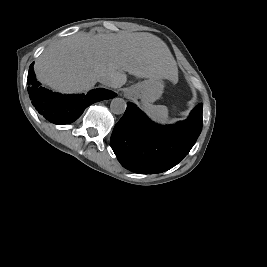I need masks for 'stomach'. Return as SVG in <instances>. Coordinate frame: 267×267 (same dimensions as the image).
Returning a JSON list of instances; mask_svg holds the SVG:
<instances>
[{
    "label": "stomach",
    "instance_id": "0dacf381",
    "mask_svg": "<svg viewBox=\"0 0 267 267\" xmlns=\"http://www.w3.org/2000/svg\"><path fill=\"white\" fill-rule=\"evenodd\" d=\"M163 90L164 82L161 79L149 78L131 86L127 94L140 98L143 103H153L161 97Z\"/></svg>",
    "mask_w": 267,
    "mask_h": 267
}]
</instances>
